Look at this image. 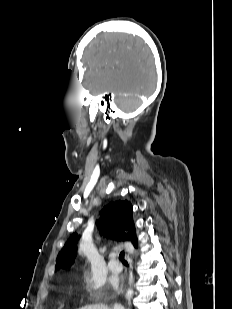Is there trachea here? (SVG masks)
<instances>
[{
  "label": "trachea",
  "mask_w": 232,
  "mask_h": 309,
  "mask_svg": "<svg viewBox=\"0 0 232 309\" xmlns=\"http://www.w3.org/2000/svg\"><path fill=\"white\" fill-rule=\"evenodd\" d=\"M124 256H125L124 251L120 252V254H119V260H120L123 264H127V261L125 260Z\"/></svg>",
  "instance_id": "trachea-1"
}]
</instances>
